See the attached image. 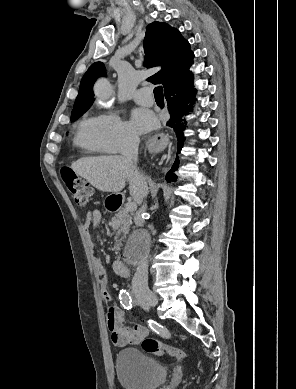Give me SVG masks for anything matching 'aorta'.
<instances>
[{"label": "aorta", "mask_w": 296, "mask_h": 389, "mask_svg": "<svg viewBox=\"0 0 296 389\" xmlns=\"http://www.w3.org/2000/svg\"><path fill=\"white\" fill-rule=\"evenodd\" d=\"M95 95L101 103L108 105L112 99L111 85L106 79H100L94 86ZM150 237L145 231L135 232L125 246V256L133 263L140 261L149 250Z\"/></svg>", "instance_id": "aorta-1"}]
</instances>
